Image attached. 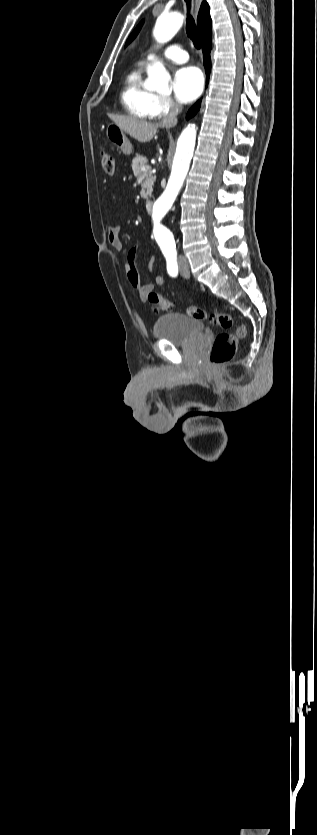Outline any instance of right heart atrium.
I'll use <instances>...</instances> for the list:
<instances>
[{"instance_id":"1","label":"right heart atrium","mask_w":317,"mask_h":835,"mask_svg":"<svg viewBox=\"0 0 317 835\" xmlns=\"http://www.w3.org/2000/svg\"><path fill=\"white\" fill-rule=\"evenodd\" d=\"M178 109V105L169 96L157 95L153 107L152 117L161 118L174 113Z\"/></svg>"}]
</instances>
